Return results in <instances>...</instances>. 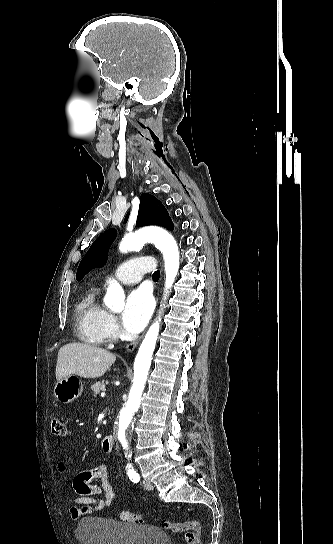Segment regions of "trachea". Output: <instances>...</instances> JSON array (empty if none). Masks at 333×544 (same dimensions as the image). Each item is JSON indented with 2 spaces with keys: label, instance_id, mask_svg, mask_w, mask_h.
Segmentation results:
<instances>
[{
  "label": "trachea",
  "instance_id": "obj_1",
  "mask_svg": "<svg viewBox=\"0 0 333 544\" xmlns=\"http://www.w3.org/2000/svg\"><path fill=\"white\" fill-rule=\"evenodd\" d=\"M159 276H160V272H159V271H155V272L153 273V279H154V280H158V279H159Z\"/></svg>",
  "mask_w": 333,
  "mask_h": 544
}]
</instances>
